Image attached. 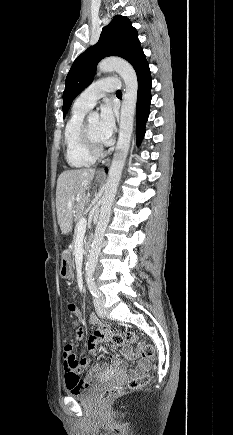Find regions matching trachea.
I'll use <instances>...</instances> for the list:
<instances>
[{
    "label": "trachea",
    "mask_w": 233,
    "mask_h": 435,
    "mask_svg": "<svg viewBox=\"0 0 233 435\" xmlns=\"http://www.w3.org/2000/svg\"><path fill=\"white\" fill-rule=\"evenodd\" d=\"M116 93H117V94H122L121 90H118Z\"/></svg>",
    "instance_id": "trachea-1"
}]
</instances>
